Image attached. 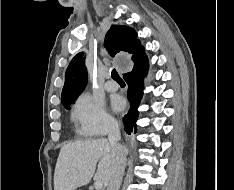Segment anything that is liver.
Segmentation results:
<instances>
[{
    "label": "liver",
    "mask_w": 234,
    "mask_h": 190,
    "mask_svg": "<svg viewBox=\"0 0 234 190\" xmlns=\"http://www.w3.org/2000/svg\"><path fill=\"white\" fill-rule=\"evenodd\" d=\"M125 155L128 151L123 147ZM98 163L97 172L95 173ZM113 157L107 139L81 140L61 147L54 173V190H75L87 185L92 177L107 186Z\"/></svg>",
    "instance_id": "6515ba94"
}]
</instances>
